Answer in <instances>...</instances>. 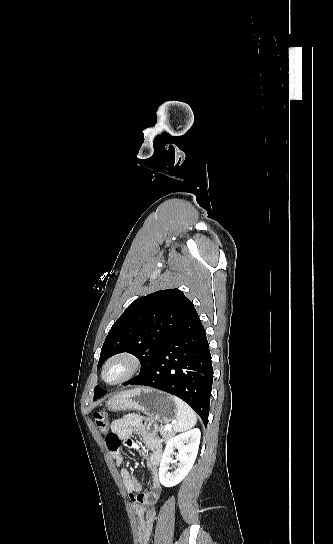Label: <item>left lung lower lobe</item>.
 I'll list each match as a JSON object with an SVG mask.
<instances>
[{
    "label": "left lung lower lobe",
    "instance_id": "obj_1",
    "mask_svg": "<svg viewBox=\"0 0 333 544\" xmlns=\"http://www.w3.org/2000/svg\"><path fill=\"white\" fill-rule=\"evenodd\" d=\"M212 382L213 368L206 332L193 308L161 347L149 368L127 384L150 386L181 398L207 426ZM103 395L101 392L94 399Z\"/></svg>",
    "mask_w": 333,
    "mask_h": 544
}]
</instances>
